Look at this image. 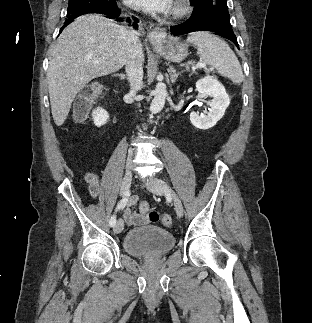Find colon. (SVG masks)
Segmentation results:
<instances>
[{"instance_id":"obj_1","label":"colon","mask_w":312,"mask_h":323,"mask_svg":"<svg viewBox=\"0 0 312 323\" xmlns=\"http://www.w3.org/2000/svg\"><path fill=\"white\" fill-rule=\"evenodd\" d=\"M94 91H90V93H93ZM139 211L141 213H148L149 215V220L150 222L152 223H156L158 222V220H156L155 218L157 217V215H159V212H157L156 210L152 209L149 205L148 202L146 201H141L139 203V207H138ZM164 219H162L164 222L162 223V225L165 227V228H171L172 226V219L171 217L169 216H163Z\"/></svg>"}]
</instances>
